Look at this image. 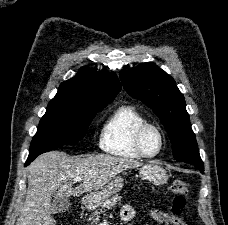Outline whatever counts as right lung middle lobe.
Listing matches in <instances>:
<instances>
[{"mask_svg": "<svg viewBox=\"0 0 228 225\" xmlns=\"http://www.w3.org/2000/svg\"><path fill=\"white\" fill-rule=\"evenodd\" d=\"M106 106L51 100L33 137L30 151L46 146L76 144L85 136L96 112Z\"/></svg>", "mask_w": 228, "mask_h": 225, "instance_id": "dd1d6c3e", "label": "right lung middle lobe"}]
</instances>
